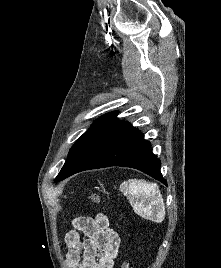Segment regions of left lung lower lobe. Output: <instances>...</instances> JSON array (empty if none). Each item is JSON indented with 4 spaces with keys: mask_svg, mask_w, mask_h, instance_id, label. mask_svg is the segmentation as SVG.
Here are the masks:
<instances>
[{
    "mask_svg": "<svg viewBox=\"0 0 221 268\" xmlns=\"http://www.w3.org/2000/svg\"><path fill=\"white\" fill-rule=\"evenodd\" d=\"M149 145L138 129L116 120L81 152L56 182L84 170L124 166L141 170L167 185L160 173V160Z\"/></svg>",
    "mask_w": 221,
    "mask_h": 268,
    "instance_id": "1",
    "label": "left lung lower lobe"
}]
</instances>
